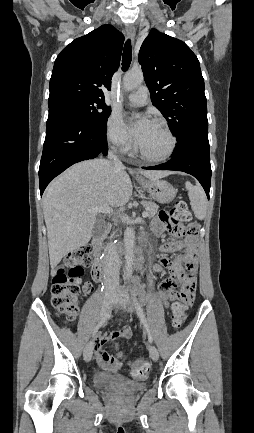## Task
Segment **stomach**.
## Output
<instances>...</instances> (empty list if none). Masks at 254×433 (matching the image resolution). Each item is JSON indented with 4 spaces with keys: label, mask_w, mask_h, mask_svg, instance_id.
I'll return each instance as SVG.
<instances>
[{
    "label": "stomach",
    "mask_w": 254,
    "mask_h": 433,
    "mask_svg": "<svg viewBox=\"0 0 254 433\" xmlns=\"http://www.w3.org/2000/svg\"><path fill=\"white\" fill-rule=\"evenodd\" d=\"M140 184L159 203H169L175 198L177 193V190L164 180L141 179Z\"/></svg>",
    "instance_id": "1"
}]
</instances>
